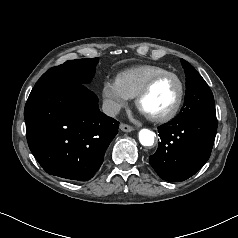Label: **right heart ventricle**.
Returning <instances> with one entry per match:
<instances>
[{"label":"right heart ventricle","mask_w":238,"mask_h":238,"mask_svg":"<svg viewBox=\"0 0 238 238\" xmlns=\"http://www.w3.org/2000/svg\"><path fill=\"white\" fill-rule=\"evenodd\" d=\"M165 71V68L156 65H140L120 72L116 80L122 91L129 98H134L152 76Z\"/></svg>","instance_id":"e07e8e85"}]
</instances>
